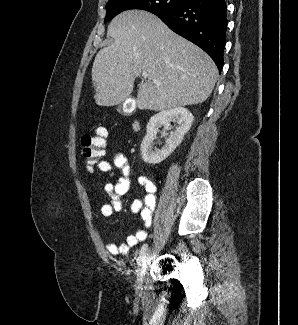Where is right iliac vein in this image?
Masks as SVG:
<instances>
[{"instance_id": "1", "label": "right iliac vein", "mask_w": 298, "mask_h": 325, "mask_svg": "<svg viewBox=\"0 0 298 325\" xmlns=\"http://www.w3.org/2000/svg\"><path fill=\"white\" fill-rule=\"evenodd\" d=\"M149 261V251L145 252L140 260L138 271H137V277H136V283H135V290L136 292H141L142 290V284L144 275L146 272V268Z\"/></svg>"}]
</instances>
